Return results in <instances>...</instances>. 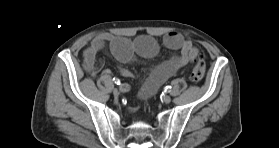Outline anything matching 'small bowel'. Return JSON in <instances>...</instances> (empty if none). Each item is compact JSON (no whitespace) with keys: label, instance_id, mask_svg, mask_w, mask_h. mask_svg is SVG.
<instances>
[{"label":"small bowel","instance_id":"small-bowel-1","mask_svg":"<svg viewBox=\"0 0 279 148\" xmlns=\"http://www.w3.org/2000/svg\"><path fill=\"white\" fill-rule=\"evenodd\" d=\"M106 44H110L113 55L122 63L133 62L136 57L154 58L159 53V45L152 37L141 36L135 40H129L116 37L110 33H100L94 37L90 46L84 51L82 58L83 69L93 77L101 71L97 56ZM163 44L168 49L179 50L180 53L153 69L139 91L141 99L152 96L167 79L188 63H193L199 53L198 47L178 32L172 31L165 34ZM119 71L125 76L132 75L131 71L123 67H119ZM105 72L108 73L107 70ZM125 88H128V86H125Z\"/></svg>","mask_w":279,"mask_h":148}]
</instances>
